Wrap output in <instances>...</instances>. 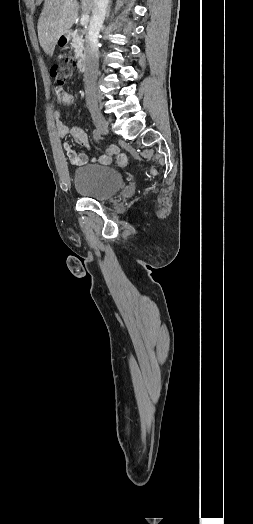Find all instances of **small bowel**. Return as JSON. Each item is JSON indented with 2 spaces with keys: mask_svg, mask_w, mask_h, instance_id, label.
<instances>
[{
  "mask_svg": "<svg viewBox=\"0 0 253 524\" xmlns=\"http://www.w3.org/2000/svg\"><path fill=\"white\" fill-rule=\"evenodd\" d=\"M55 95L58 102L62 105H74L75 99L74 96L66 92L63 88L58 90L55 89ZM54 119L56 123V128L58 135L63 138V140H70L71 136L76 143L82 145L85 150L81 152H76L68 142L63 143V149L66 153L69 161L75 166H83L89 162L97 163L100 165H109L112 161V157L119 152V148L116 145H111L107 148L106 152L98 157H92L88 151V135L87 133L76 126L68 127L61 119V114L58 110L54 112Z\"/></svg>",
  "mask_w": 253,
  "mask_h": 524,
  "instance_id": "obj_1",
  "label": "small bowel"
}]
</instances>
